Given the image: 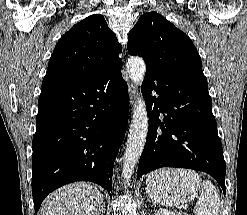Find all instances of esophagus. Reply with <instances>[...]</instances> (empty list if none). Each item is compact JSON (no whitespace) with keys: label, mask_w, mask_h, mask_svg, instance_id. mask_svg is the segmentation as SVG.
<instances>
[{"label":"esophagus","mask_w":247,"mask_h":215,"mask_svg":"<svg viewBox=\"0 0 247 215\" xmlns=\"http://www.w3.org/2000/svg\"><path fill=\"white\" fill-rule=\"evenodd\" d=\"M129 90L131 93V98L134 99L136 97V87L133 84H130Z\"/></svg>","instance_id":"34e87169"}]
</instances>
